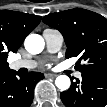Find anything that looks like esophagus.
<instances>
[{"label":"esophagus","mask_w":107,"mask_h":107,"mask_svg":"<svg viewBox=\"0 0 107 107\" xmlns=\"http://www.w3.org/2000/svg\"><path fill=\"white\" fill-rule=\"evenodd\" d=\"M45 76L48 77V78H55L57 75L56 74L47 73Z\"/></svg>","instance_id":"1"}]
</instances>
